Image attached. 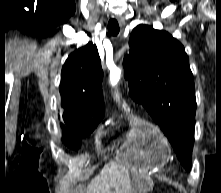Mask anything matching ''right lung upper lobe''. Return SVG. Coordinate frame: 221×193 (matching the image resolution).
<instances>
[{
	"instance_id": "1",
	"label": "right lung upper lobe",
	"mask_w": 221,
	"mask_h": 193,
	"mask_svg": "<svg viewBox=\"0 0 221 193\" xmlns=\"http://www.w3.org/2000/svg\"><path fill=\"white\" fill-rule=\"evenodd\" d=\"M102 79L100 57L91 42L69 55L59 87L65 123L104 117Z\"/></svg>"
}]
</instances>
